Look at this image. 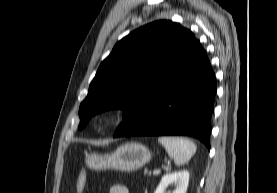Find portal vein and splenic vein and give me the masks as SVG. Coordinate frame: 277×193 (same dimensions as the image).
Segmentation results:
<instances>
[{
	"instance_id": "obj_1",
	"label": "portal vein and splenic vein",
	"mask_w": 277,
	"mask_h": 193,
	"mask_svg": "<svg viewBox=\"0 0 277 193\" xmlns=\"http://www.w3.org/2000/svg\"><path fill=\"white\" fill-rule=\"evenodd\" d=\"M160 173V169L153 170V175H158Z\"/></svg>"
}]
</instances>
